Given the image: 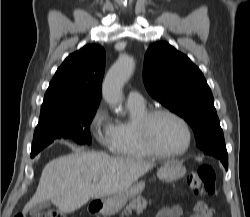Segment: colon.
Masks as SVG:
<instances>
[{
    "instance_id": "1",
    "label": "colon",
    "mask_w": 250,
    "mask_h": 217,
    "mask_svg": "<svg viewBox=\"0 0 250 217\" xmlns=\"http://www.w3.org/2000/svg\"><path fill=\"white\" fill-rule=\"evenodd\" d=\"M188 184L190 188L198 195L212 194L215 190V171L210 165H202L196 171L188 175ZM195 212L202 217H209L212 209L203 201H199L195 205ZM14 217H25L23 213H18ZM33 217H64L58 210H49L44 213L37 214Z\"/></svg>"
}]
</instances>
